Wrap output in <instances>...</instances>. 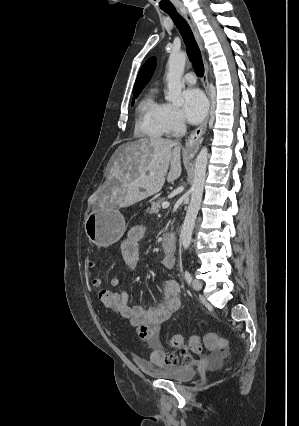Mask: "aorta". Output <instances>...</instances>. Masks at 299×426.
<instances>
[{
  "label": "aorta",
  "instance_id": "obj_1",
  "mask_svg": "<svg viewBox=\"0 0 299 426\" xmlns=\"http://www.w3.org/2000/svg\"><path fill=\"white\" fill-rule=\"evenodd\" d=\"M186 57V53L184 52H174L170 54L168 60V71L166 75L168 92L166 100L177 107L182 106L184 103L181 92L184 87L182 75L184 73ZM207 162L208 149L207 147H203L195 161L191 200L181 230V243L184 249H188L190 246L195 220L200 209L206 178Z\"/></svg>",
  "mask_w": 299,
  "mask_h": 426
}]
</instances>
